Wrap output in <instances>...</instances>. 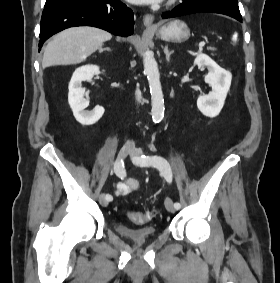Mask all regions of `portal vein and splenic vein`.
Here are the masks:
<instances>
[{
    "mask_svg": "<svg viewBox=\"0 0 280 283\" xmlns=\"http://www.w3.org/2000/svg\"><path fill=\"white\" fill-rule=\"evenodd\" d=\"M205 44L206 43L204 41H202V42L199 43V47H203V46H205Z\"/></svg>",
    "mask_w": 280,
    "mask_h": 283,
    "instance_id": "18ae733b",
    "label": "portal vein and splenic vein"
}]
</instances>
